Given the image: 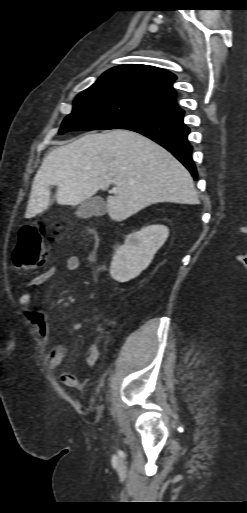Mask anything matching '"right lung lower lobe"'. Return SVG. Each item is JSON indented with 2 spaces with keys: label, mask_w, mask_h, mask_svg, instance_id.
Returning <instances> with one entry per match:
<instances>
[{
  "label": "right lung lower lobe",
  "mask_w": 247,
  "mask_h": 513,
  "mask_svg": "<svg viewBox=\"0 0 247 513\" xmlns=\"http://www.w3.org/2000/svg\"><path fill=\"white\" fill-rule=\"evenodd\" d=\"M183 116L184 111L179 109L130 122L120 129L138 132L166 148L196 180L197 171L191 156L192 146L187 139L190 129L184 124Z\"/></svg>",
  "instance_id": "98d812e1"
}]
</instances>
